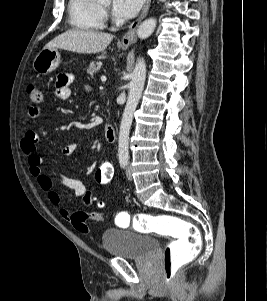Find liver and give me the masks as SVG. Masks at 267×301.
<instances>
[{
    "instance_id": "liver-1",
    "label": "liver",
    "mask_w": 267,
    "mask_h": 301,
    "mask_svg": "<svg viewBox=\"0 0 267 301\" xmlns=\"http://www.w3.org/2000/svg\"><path fill=\"white\" fill-rule=\"evenodd\" d=\"M113 40V35L79 29L68 30L58 35L44 49L60 48L76 53L92 54L104 51Z\"/></svg>"
}]
</instances>
